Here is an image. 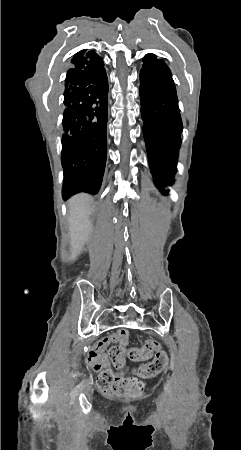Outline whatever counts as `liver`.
I'll use <instances>...</instances> for the list:
<instances>
[{"label":"liver","mask_w":241,"mask_h":450,"mask_svg":"<svg viewBox=\"0 0 241 450\" xmlns=\"http://www.w3.org/2000/svg\"><path fill=\"white\" fill-rule=\"evenodd\" d=\"M92 196L89 194H77L68 200L70 206L69 236L71 246L70 260H75L81 252L92 230L90 220Z\"/></svg>","instance_id":"6515ba94"}]
</instances>
